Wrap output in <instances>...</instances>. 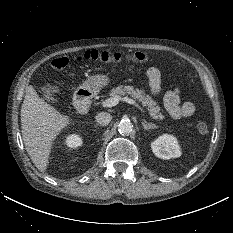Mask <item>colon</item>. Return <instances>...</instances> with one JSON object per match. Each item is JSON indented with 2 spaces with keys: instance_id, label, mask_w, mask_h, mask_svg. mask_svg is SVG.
Here are the masks:
<instances>
[{
  "instance_id": "5ec220e1",
  "label": "colon",
  "mask_w": 233,
  "mask_h": 233,
  "mask_svg": "<svg viewBox=\"0 0 233 233\" xmlns=\"http://www.w3.org/2000/svg\"><path fill=\"white\" fill-rule=\"evenodd\" d=\"M148 55L145 52L137 51L130 55H122L120 53H111L106 51L88 50L83 54L76 56V61L91 60L100 63H119L122 61L128 62H143L147 60ZM70 58L67 56L57 57L52 60L51 66L54 69H63L70 63ZM43 97L47 101H54L58 95V86L55 83L48 82L42 90ZM197 131L200 135L205 136L208 134V125L204 121L197 124Z\"/></svg>"
}]
</instances>
